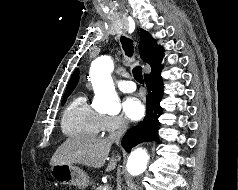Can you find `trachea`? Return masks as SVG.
I'll use <instances>...</instances> for the list:
<instances>
[{
	"instance_id": "trachea-1",
	"label": "trachea",
	"mask_w": 238,
	"mask_h": 190,
	"mask_svg": "<svg viewBox=\"0 0 238 190\" xmlns=\"http://www.w3.org/2000/svg\"><path fill=\"white\" fill-rule=\"evenodd\" d=\"M121 43L122 47L125 51V54L129 57L133 55L134 49H133V42L131 39L126 38L124 36H121ZM134 78L139 82L144 84V79L142 75V68L140 66H136L132 70Z\"/></svg>"
}]
</instances>
